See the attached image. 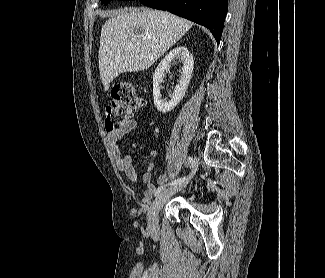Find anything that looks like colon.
I'll return each mask as SVG.
<instances>
[{
	"mask_svg": "<svg viewBox=\"0 0 325 278\" xmlns=\"http://www.w3.org/2000/svg\"><path fill=\"white\" fill-rule=\"evenodd\" d=\"M144 105L142 97L131 85H119L111 92V101L106 106L105 129L112 132L130 121Z\"/></svg>",
	"mask_w": 325,
	"mask_h": 278,
	"instance_id": "5ec220e1",
	"label": "colon"
}]
</instances>
